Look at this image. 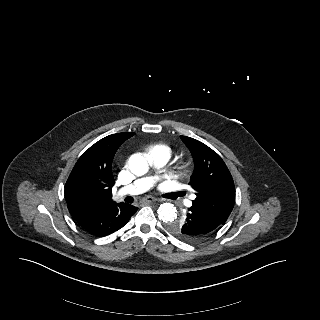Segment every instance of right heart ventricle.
<instances>
[{
    "label": "right heart ventricle",
    "mask_w": 320,
    "mask_h": 320,
    "mask_svg": "<svg viewBox=\"0 0 320 320\" xmlns=\"http://www.w3.org/2000/svg\"><path fill=\"white\" fill-rule=\"evenodd\" d=\"M147 151L149 153L154 152V151H165V152L169 153L170 149L168 146H166L164 144H156V145L149 146L147 148Z\"/></svg>",
    "instance_id": "1"
}]
</instances>
